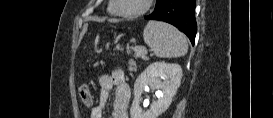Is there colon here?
Wrapping results in <instances>:
<instances>
[{"label": "colon", "mask_w": 273, "mask_h": 118, "mask_svg": "<svg viewBox=\"0 0 273 118\" xmlns=\"http://www.w3.org/2000/svg\"><path fill=\"white\" fill-rule=\"evenodd\" d=\"M79 95H80V98L81 100L88 104L90 103V100H91V96H90V93H89V90L86 86H82L79 90Z\"/></svg>", "instance_id": "5ec220e1"}]
</instances>
